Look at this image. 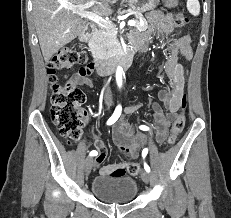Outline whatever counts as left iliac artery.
Listing matches in <instances>:
<instances>
[{
  "instance_id": "obj_1",
  "label": "left iliac artery",
  "mask_w": 231,
  "mask_h": 218,
  "mask_svg": "<svg viewBox=\"0 0 231 218\" xmlns=\"http://www.w3.org/2000/svg\"><path fill=\"white\" fill-rule=\"evenodd\" d=\"M139 128H140L141 130H144V131H148V130H149V127H148V126H145V125H141ZM147 153H148V149L145 148V149L142 151V156H143V158L146 157ZM144 169H145L147 172H150V167H149L146 163H144Z\"/></svg>"
}]
</instances>
